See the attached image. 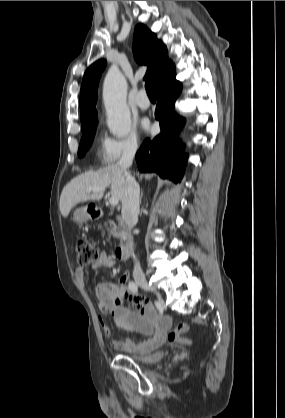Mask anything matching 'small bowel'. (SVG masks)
Returning <instances> with one entry per match:
<instances>
[{"instance_id": "c3829d8e", "label": "small bowel", "mask_w": 285, "mask_h": 418, "mask_svg": "<svg viewBox=\"0 0 285 418\" xmlns=\"http://www.w3.org/2000/svg\"><path fill=\"white\" fill-rule=\"evenodd\" d=\"M92 268H114L115 260L107 253L102 252L92 263ZM129 271H126L119 279L118 284L111 282L100 283L95 290L97 306L101 314L112 316L116 325L126 331L148 333L152 327L155 334L147 341L134 342L130 339L114 340L111 345L115 350L127 352H143L155 350L167 341V334L171 328V320L167 316H156L153 314L150 305L138 298L129 288ZM78 280H86L85 269L83 266L75 270ZM137 305V309L133 306ZM100 324L104 333L109 336L111 328L102 316L99 317ZM187 344H191L188 340Z\"/></svg>"}]
</instances>
